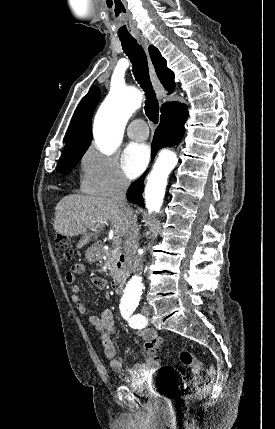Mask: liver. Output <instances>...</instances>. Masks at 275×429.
<instances>
[{
	"label": "liver",
	"instance_id": "obj_1",
	"mask_svg": "<svg viewBox=\"0 0 275 429\" xmlns=\"http://www.w3.org/2000/svg\"><path fill=\"white\" fill-rule=\"evenodd\" d=\"M109 223L116 236H125L126 216L110 198L73 194L62 198L55 207L53 227L57 233L70 237L84 235L77 248L96 240Z\"/></svg>",
	"mask_w": 275,
	"mask_h": 429
}]
</instances>
